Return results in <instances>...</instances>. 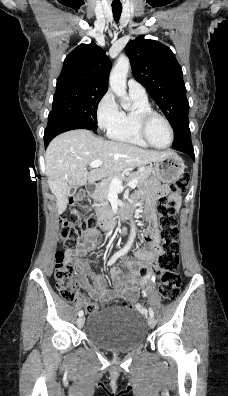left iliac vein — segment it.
I'll use <instances>...</instances> for the list:
<instances>
[{
  "label": "left iliac vein",
  "mask_w": 228,
  "mask_h": 396,
  "mask_svg": "<svg viewBox=\"0 0 228 396\" xmlns=\"http://www.w3.org/2000/svg\"><path fill=\"white\" fill-rule=\"evenodd\" d=\"M148 325L150 328H154L156 325V319L154 318V316H149L148 318Z\"/></svg>",
  "instance_id": "obj_1"
}]
</instances>
